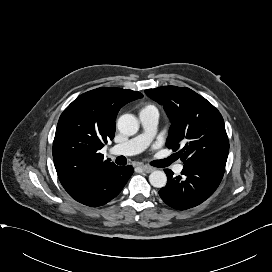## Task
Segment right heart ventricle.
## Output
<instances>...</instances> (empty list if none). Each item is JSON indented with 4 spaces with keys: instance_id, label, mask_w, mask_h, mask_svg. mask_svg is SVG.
<instances>
[{
    "instance_id": "1",
    "label": "right heart ventricle",
    "mask_w": 272,
    "mask_h": 272,
    "mask_svg": "<svg viewBox=\"0 0 272 272\" xmlns=\"http://www.w3.org/2000/svg\"><path fill=\"white\" fill-rule=\"evenodd\" d=\"M148 107H153V106H146L145 108H148Z\"/></svg>"
}]
</instances>
